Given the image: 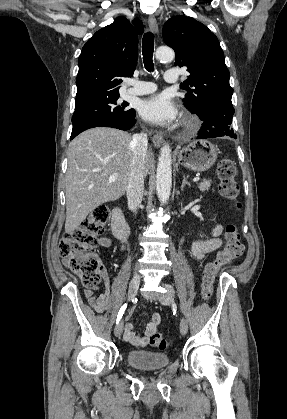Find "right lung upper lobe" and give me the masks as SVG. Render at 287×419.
<instances>
[{
  "label": "right lung upper lobe",
  "instance_id": "cb5924a9",
  "mask_svg": "<svg viewBox=\"0 0 287 419\" xmlns=\"http://www.w3.org/2000/svg\"><path fill=\"white\" fill-rule=\"evenodd\" d=\"M135 29L124 17L97 31L83 46L78 59L75 107L119 95L120 77L133 75L138 58V35L143 25L135 20Z\"/></svg>",
  "mask_w": 287,
  "mask_h": 419
}]
</instances>
